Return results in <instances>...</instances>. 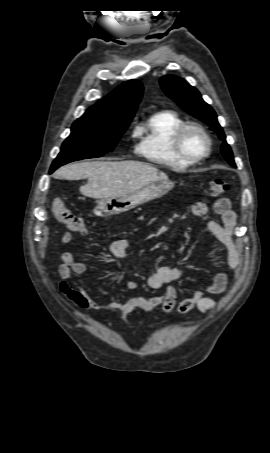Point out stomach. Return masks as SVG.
<instances>
[{
  "instance_id": "stomach-1",
  "label": "stomach",
  "mask_w": 270,
  "mask_h": 453,
  "mask_svg": "<svg viewBox=\"0 0 270 453\" xmlns=\"http://www.w3.org/2000/svg\"><path fill=\"white\" fill-rule=\"evenodd\" d=\"M172 187L173 183L169 180L156 181L126 196L99 199L93 211L95 215L100 217L121 214L163 196Z\"/></svg>"
}]
</instances>
